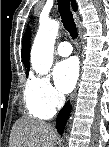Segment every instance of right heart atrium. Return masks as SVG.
I'll return each instance as SVG.
<instances>
[{"label": "right heart atrium", "instance_id": "obj_1", "mask_svg": "<svg viewBox=\"0 0 109 147\" xmlns=\"http://www.w3.org/2000/svg\"><path fill=\"white\" fill-rule=\"evenodd\" d=\"M26 97L49 114H54L62 105L63 96L43 76L33 78L27 86Z\"/></svg>", "mask_w": 109, "mask_h": 147}]
</instances>
